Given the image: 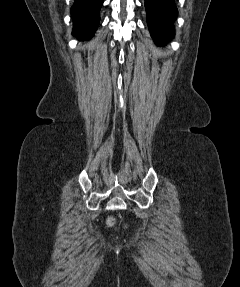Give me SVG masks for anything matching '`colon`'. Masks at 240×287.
Wrapping results in <instances>:
<instances>
[{"instance_id":"1","label":"colon","mask_w":240,"mask_h":287,"mask_svg":"<svg viewBox=\"0 0 240 287\" xmlns=\"http://www.w3.org/2000/svg\"><path fill=\"white\" fill-rule=\"evenodd\" d=\"M109 224H113V221H112V220H110V221H109Z\"/></svg>"}]
</instances>
